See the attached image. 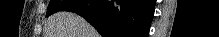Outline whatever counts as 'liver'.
<instances>
[{"label": "liver", "instance_id": "liver-1", "mask_svg": "<svg viewBox=\"0 0 219 37\" xmlns=\"http://www.w3.org/2000/svg\"><path fill=\"white\" fill-rule=\"evenodd\" d=\"M45 37H99V34L79 15L61 11L48 19Z\"/></svg>", "mask_w": 219, "mask_h": 37}]
</instances>
